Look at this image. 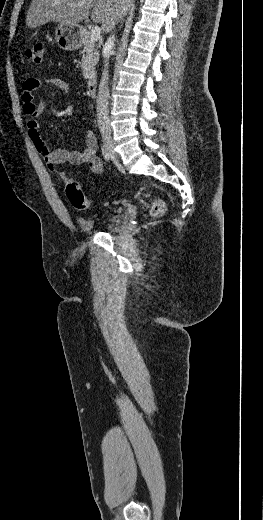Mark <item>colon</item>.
<instances>
[{"label": "colon", "mask_w": 263, "mask_h": 520, "mask_svg": "<svg viewBox=\"0 0 263 520\" xmlns=\"http://www.w3.org/2000/svg\"><path fill=\"white\" fill-rule=\"evenodd\" d=\"M26 56L34 63H42L44 57V44L35 42L25 51ZM65 193L71 205L78 210H85L90 205V200L83 193L79 183L66 175L64 179ZM149 197V195H147ZM165 212L164 202L158 198H152L150 203V213L152 216L159 217Z\"/></svg>", "instance_id": "colon-1"}]
</instances>
